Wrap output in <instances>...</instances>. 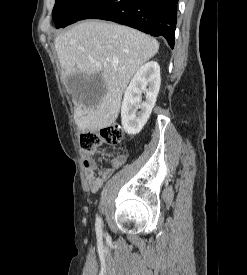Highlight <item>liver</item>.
Wrapping results in <instances>:
<instances>
[{"mask_svg": "<svg viewBox=\"0 0 247 275\" xmlns=\"http://www.w3.org/2000/svg\"><path fill=\"white\" fill-rule=\"evenodd\" d=\"M55 49L63 78L77 72L99 74L104 94L87 103L73 94L74 119L82 132L111 126L117 119L122 95L132 75L159 49L156 39L136 29L100 20H87L59 34Z\"/></svg>", "mask_w": 247, "mask_h": 275, "instance_id": "liver-1", "label": "liver"}]
</instances>
